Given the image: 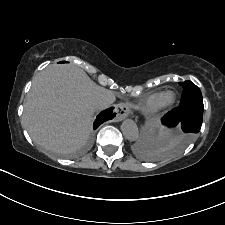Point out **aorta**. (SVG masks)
I'll use <instances>...</instances> for the list:
<instances>
[{
	"instance_id": "obj_1",
	"label": "aorta",
	"mask_w": 225,
	"mask_h": 225,
	"mask_svg": "<svg viewBox=\"0 0 225 225\" xmlns=\"http://www.w3.org/2000/svg\"><path fill=\"white\" fill-rule=\"evenodd\" d=\"M121 130L123 135L129 141H136L139 138V130L136 123L130 119L122 122Z\"/></svg>"
}]
</instances>
